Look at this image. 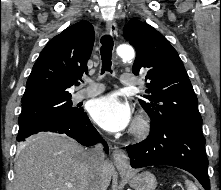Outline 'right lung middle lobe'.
<instances>
[{
	"label": "right lung middle lobe",
	"instance_id": "right-lung-middle-lobe-1",
	"mask_svg": "<svg viewBox=\"0 0 221 190\" xmlns=\"http://www.w3.org/2000/svg\"><path fill=\"white\" fill-rule=\"evenodd\" d=\"M82 109L72 107L71 98L51 100L22 107L19 116V133L50 122H69L81 113Z\"/></svg>",
	"mask_w": 221,
	"mask_h": 190
}]
</instances>
